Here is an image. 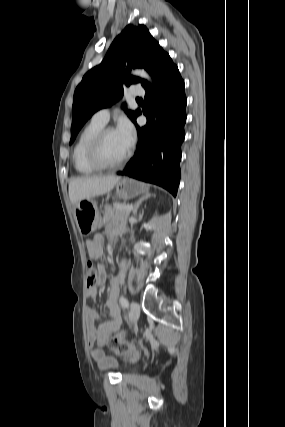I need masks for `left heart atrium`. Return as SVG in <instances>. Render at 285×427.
<instances>
[{"label":"left heart atrium","mask_w":285,"mask_h":427,"mask_svg":"<svg viewBox=\"0 0 285 427\" xmlns=\"http://www.w3.org/2000/svg\"><path fill=\"white\" fill-rule=\"evenodd\" d=\"M116 132L124 142L125 146L130 149L136 139L135 129L128 119H121L116 128Z\"/></svg>","instance_id":"obj_1"}]
</instances>
